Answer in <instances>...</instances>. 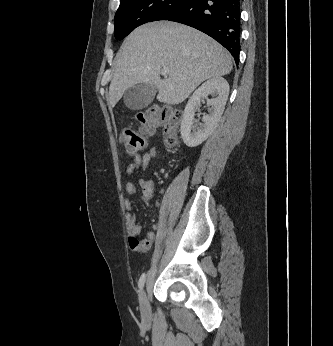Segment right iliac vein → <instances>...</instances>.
<instances>
[{
	"instance_id": "obj_1",
	"label": "right iliac vein",
	"mask_w": 333,
	"mask_h": 346,
	"mask_svg": "<svg viewBox=\"0 0 333 346\" xmlns=\"http://www.w3.org/2000/svg\"><path fill=\"white\" fill-rule=\"evenodd\" d=\"M139 300L142 320L148 324L151 320L152 313L149 298L145 290L141 291Z\"/></svg>"
}]
</instances>
